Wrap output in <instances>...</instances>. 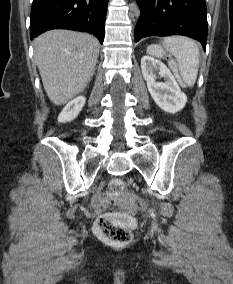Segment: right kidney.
<instances>
[{
    "instance_id": "ca27d5eb",
    "label": "right kidney",
    "mask_w": 233,
    "mask_h": 284,
    "mask_svg": "<svg viewBox=\"0 0 233 284\" xmlns=\"http://www.w3.org/2000/svg\"><path fill=\"white\" fill-rule=\"evenodd\" d=\"M85 101L86 99L84 96H78L75 99L71 100L59 114L58 122L64 123L75 119L82 110Z\"/></svg>"
}]
</instances>
